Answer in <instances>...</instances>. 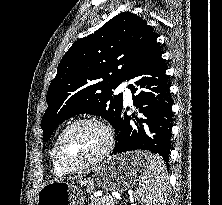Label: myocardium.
<instances>
[{
    "mask_svg": "<svg viewBox=\"0 0 222 205\" xmlns=\"http://www.w3.org/2000/svg\"><path fill=\"white\" fill-rule=\"evenodd\" d=\"M83 124L96 126L104 133V135H105L104 146L99 153H97L96 155H94L90 159L83 161V162L75 163V164H69L66 161H64V159L62 158V156L60 154L61 142H62L64 136L70 130H72L76 126L83 125ZM112 145H113V135H112L110 128L103 121H101L99 119L85 117V118H79V119L73 121L65 129H63V131L59 134V136L57 137V139L55 141L54 148H53V154H54V158H55L57 164L60 167H62L63 169H65L67 171H76V170L87 168L89 166H92V165L97 164L100 161H102L110 153Z\"/></svg>",
    "mask_w": 222,
    "mask_h": 205,
    "instance_id": "f54148a6",
    "label": "myocardium"
}]
</instances>
